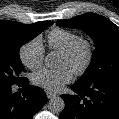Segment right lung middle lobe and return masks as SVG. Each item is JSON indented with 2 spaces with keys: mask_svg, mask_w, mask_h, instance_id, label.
I'll return each instance as SVG.
<instances>
[{
  "mask_svg": "<svg viewBox=\"0 0 119 119\" xmlns=\"http://www.w3.org/2000/svg\"><path fill=\"white\" fill-rule=\"evenodd\" d=\"M51 24L41 21L30 25L18 22L7 27L0 25V87L24 81L25 78L21 77L23 65L19 57L20 47Z\"/></svg>",
  "mask_w": 119,
  "mask_h": 119,
  "instance_id": "obj_1",
  "label": "right lung middle lobe"
}]
</instances>
